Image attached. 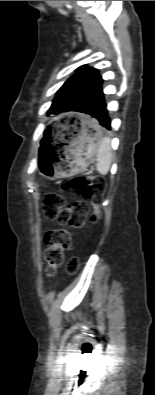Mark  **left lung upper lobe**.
<instances>
[{
  "label": "left lung upper lobe",
  "mask_w": 155,
  "mask_h": 395,
  "mask_svg": "<svg viewBox=\"0 0 155 395\" xmlns=\"http://www.w3.org/2000/svg\"><path fill=\"white\" fill-rule=\"evenodd\" d=\"M103 82L99 71L92 67H80L58 90L48 115L67 111L81 112V106L87 96L97 89Z\"/></svg>",
  "instance_id": "1"
}]
</instances>
